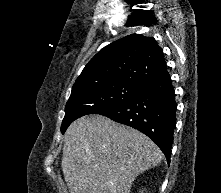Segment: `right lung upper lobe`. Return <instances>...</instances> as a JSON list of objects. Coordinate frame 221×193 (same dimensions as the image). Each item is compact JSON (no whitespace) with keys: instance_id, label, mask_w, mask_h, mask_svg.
Masks as SVG:
<instances>
[{"instance_id":"obj_1","label":"right lung upper lobe","mask_w":221,"mask_h":193,"mask_svg":"<svg viewBox=\"0 0 221 193\" xmlns=\"http://www.w3.org/2000/svg\"><path fill=\"white\" fill-rule=\"evenodd\" d=\"M167 75L156 40L131 34L101 49L85 66L72 90L117 82L144 84Z\"/></svg>"}]
</instances>
